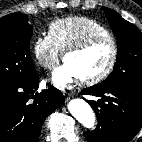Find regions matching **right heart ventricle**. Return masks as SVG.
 <instances>
[{
    "label": "right heart ventricle",
    "instance_id": "e07e8e85",
    "mask_svg": "<svg viewBox=\"0 0 142 142\" xmlns=\"http://www.w3.org/2000/svg\"><path fill=\"white\" fill-rule=\"evenodd\" d=\"M48 35L59 51L63 52L69 46L91 35L110 36V32L92 18L69 16L53 21L48 27Z\"/></svg>",
    "mask_w": 142,
    "mask_h": 142
}]
</instances>
